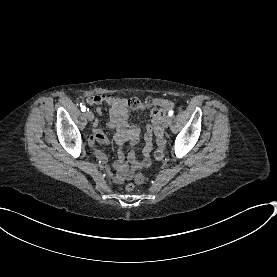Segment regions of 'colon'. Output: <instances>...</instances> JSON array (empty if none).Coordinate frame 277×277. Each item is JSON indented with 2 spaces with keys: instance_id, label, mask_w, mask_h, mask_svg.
Instances as JSON below:
<instances>
[{
  "instance_id": "obj_1",
  "label": "colon",
  "mask_w": 277,
  "mask_h": 277,
  "mask_svg": "<svg viewBox=\"0 0 277 277\" xmlns=\"http://www.w3.org/2000/svg\"><path fill=\"white\" fill-rule=\"evenodd\" d=\"M128 104L132 109H137L142 105L146 106L147 108L155 106V102L151 99L140 100L138 98H130L128 101ZM164 114H165V111L161 107H154L152 109L151 118H152V123L154 125V130L156 133V142L158 146L154 154V158L156 160H161L163 158V148L165 145V138L162 130V123L164 120ZM146 181H147V178L142 173L137 174L134 178V183L136 184H144ZM134 183H130L127 186V189L129 190L132 189L134 187Z\"/></svg>"
}]
</instances>
